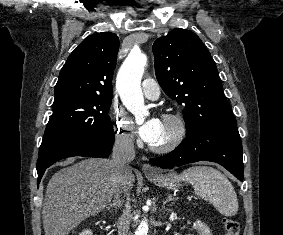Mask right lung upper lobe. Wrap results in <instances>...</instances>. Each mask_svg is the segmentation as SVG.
I'll return each mask as SVG.
<instances>
[{
  "mask_svg": "<svg viewBox=\"0 0 283 235\" xmlns=\"http://www.w3.org/2000/svg\"><path fill=\"white\" fill-rule=\"evenodd\" d=\"M119 39L111 32L88 36L68 57L54 89V103L72 97H112Z\"/></svg>",
  "mask_w": 283,
  "mask_h": 235,
  "instance_id": "obj_1",
  "label": "right lung upper lobe"
}]
</instances>
